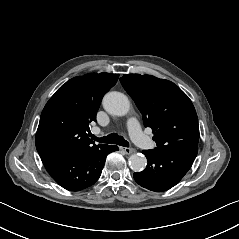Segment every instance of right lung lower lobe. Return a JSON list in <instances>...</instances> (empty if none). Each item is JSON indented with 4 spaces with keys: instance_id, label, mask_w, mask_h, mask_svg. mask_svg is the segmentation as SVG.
<instances>
[{
    "instance_id": "98d812e1",
    "label": "right lung lower lobe",
    "mask_w": 239,
    "mask_h": 239,
    "mask_svg": "<svg viewBox=\"0 0 239 239\" xmlns=\"http://www.w3.org/2000/svg\"><path fill=\"white\" fill-rule=\"evenodd\" d=\"M116 150L117 146L99 144L84 150L40 157L48 173L60 186L70 191H79L98 180L107 154Z\"/></svg>"
}]
</instances>
